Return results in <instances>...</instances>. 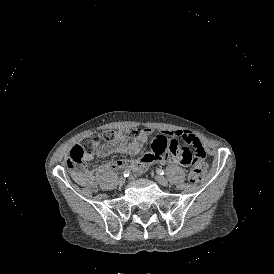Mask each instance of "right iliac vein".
Segmentation results:
<instances>
[{
    "instance_id": "1",
    "label": "right iliac vein",
    "mask_w": 274,
    "mask_h": 274,
    "mask_svg": "<svg viewBox=\"0 0 274 274\" xmlns=\"http://www.w3.org/2000/svg\"><path fill=\"white\" fill-rule=\"evenodd\" d=\"M125 182H126V179L125 178H119V180H118V185L119 186H123L124 184H125Z\"/></svg>"
}]
</instances>
